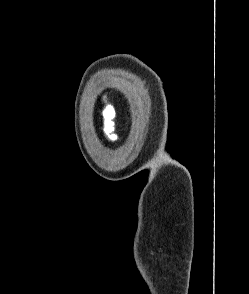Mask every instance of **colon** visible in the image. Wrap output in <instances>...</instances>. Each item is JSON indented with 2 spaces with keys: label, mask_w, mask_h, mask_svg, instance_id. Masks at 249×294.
Instances as JSON below:
<instances>
[{
  "label": "colon",
  "mask_w": 249,
  "mask_h": 294,
  "mask_svg": "<svg viewBox=\"0 0 249 294\" xmlns=\"http://www.w3.org/2000/svg\"><path fill=\"white\" fill-rule=\"evenodd\" d=\"M102 120H103V130L106 135L112 138L111 130L113 125V108L106 101V96L103 97V108L101 111Z\"/></svg>",
  "instance_id": "5ec220e1"
}]
</instances>
